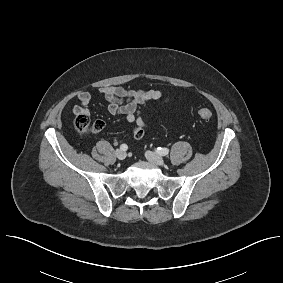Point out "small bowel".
<instances>
[{"label":"small bowel","instance_id":"obj_1","mask_svg":"<svg viewBox=\"0 0 283 283\" xmlns=\"http://www.w3.org/2000/svg\"><path fill=\"white\" fill-rule=\"evenodd\" d=\"M108 106V112L111 115H122L126 120L133 124L131 134L135 139H141L146 132L147 122L141 114V108L151 100L163 98V93L157 89H126L120 86H106L100 89ZM91 95L87 91H81L77 94V104L74 106V114H89V103ZM167 102V100H163Z\"/></svg>","mask_w":283,"mask_h":283}]
</instances>
